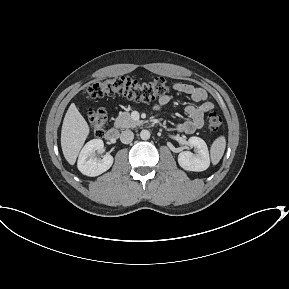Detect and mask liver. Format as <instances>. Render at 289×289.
<instances>
[{
    "mask_svg": "<svg viewBox=\"0 0 289 289\" xmlns=\"http://www.w3.org/2000/svg\"><path fill=\"white\" fill-rule=\"evenodd\" d=\"M89 132L86 120L72 103L65 114L61 130L62 151L70 165L75 164Z\"/></svg>",
    "mask_w": 289,
    "mask_h": 289,
    "instance_id": "1",
    "label": "liver"
}]
</instances>
